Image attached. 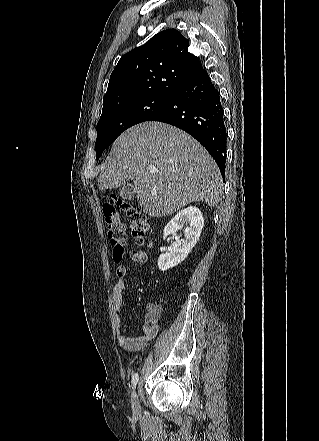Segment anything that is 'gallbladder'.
Instances as JSON below:
<instances>
[{
	"instance_id": "bac80fb5",
	"label": "gallbladder",
	"mask_w": 319,
	"mask_h": 441,
	"mask_svg": "<svg viewBox=\"0 0 319 441\" xmlns=\"http://www.w3.org/2000/svg\"><path fill=\"white\" fill-rule=\"evenodd\" d=\"M135 194L134 185L133 184H126L124 185L119 192V195L124 200L131 199Z\"/></svg>"
}]
</instances>
